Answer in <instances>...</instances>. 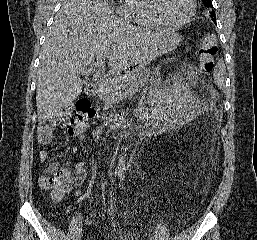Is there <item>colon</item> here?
I'll return each mask as SVG.
<instances>
[{
    "instance_id": "obj_1",
    "label": "colon",
    "mask_w": 257,
    "mask_h": 240,
    "mask_svg": "<svg viewBox=\"0 0 257 240\" xmlns=\"http://www.w3.org/2000/svg\"><path fill=\"white\" fill-rule=\"evenodd\" d=\"M217 53V38L213 33H206L201 40L199 47L200 69L204 73H211L215 65ZM95 115V110L87 100H79L72 108L65 111L62 120L68 127L70 135H76L83 131L86 121ZM51 129L52 124L43 126ZM42 184L51 191L54 198L64 197L72 187L70 172L67 168L49 169L41 180Z\"/></svg>"
}]
</instances>
